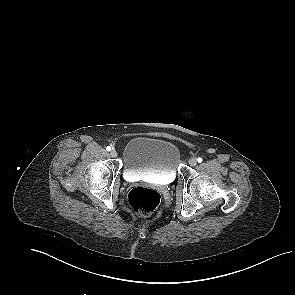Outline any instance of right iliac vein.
Here are the masks:
<instances>
[{"label":"right iliac vein","mask_w":295,"mask_h":295,"mask_svg":"<svg viewBox=\"0 0 295 295\" xmlns=\"http://www.w3.org/2000/svg\"><path fill=\"white\" fill-rule=\"evenodd\" d=\"M110 155H111V157H113V158L117 157V151L114 150V149H112L111 152H110Z\"/></svg>","instance_id":"1"}]
</instances>
